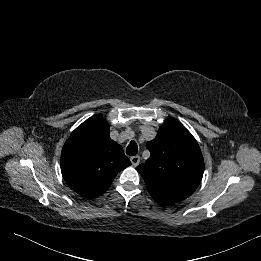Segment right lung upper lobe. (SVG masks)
<instances>
[{"label":"right lung upper lobe","instance_id":"right-lung-upper-lobe-1","mask_svg":"<svg viewBox=\"0 0 261 261\" xmlns=\"http://www.w3.org/2000/svg\"><path fill=\"white\" fill-rule=\"evenodd\" d=\"M65 182L86 198L103 194L121 170L131 165L122 147L109 136L101 117H91L76 128L61 152Z\"/></svg>","mask_w":261,"mask_h":261}]
</instances>
